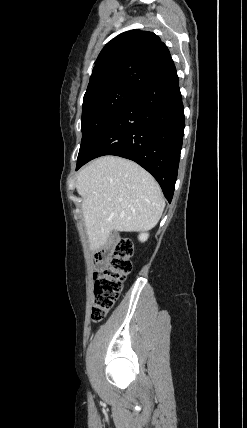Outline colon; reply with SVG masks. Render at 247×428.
Listing matches in <instances>:
<instances>
[{"mask_svg":"<svg viewBox=\"0 0 247 428\" xmlns=\"http://www.w3.org/2000/svg\"><path fill=\"white\" fill-rule=\"evenodd\" d=\"M133 246L129 239L119 238L112 247L95 254L99 272L94 276L92 319L101 321L120 296L123 282L132 270Z\"/></svg>","mask_w":247,"mask_h":428,"instance_id":"obj_1","label":"colon"}]
</instances>
